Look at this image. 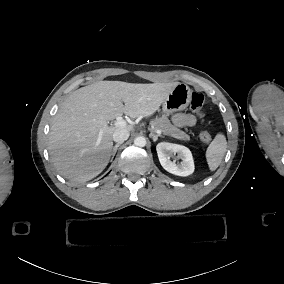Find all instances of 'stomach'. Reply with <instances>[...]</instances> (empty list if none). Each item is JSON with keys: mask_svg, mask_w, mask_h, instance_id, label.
Instances as JSON below:
<instances>
[{"mask_svg": "<svg viewBox=\"0 0 284 284\" xmlns=\"http://www.w3.org/2000/svg\"><path fill=\"white\" fill-rule=\"evenodd\" d=\"M191 101V89L185 83H179L168 94L162 103L163 112L167 115L182 111L188 107Z\"/></svg>", "mask_w": 284, "mask_h": 284, "instance_id": "stomach-1", "label": "stomach"}]
</instances>
